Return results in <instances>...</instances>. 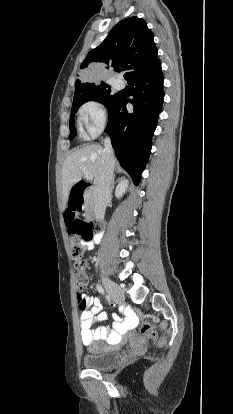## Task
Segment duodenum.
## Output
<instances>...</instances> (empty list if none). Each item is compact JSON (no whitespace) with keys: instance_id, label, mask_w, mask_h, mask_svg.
Masks as SVG:
<instances>
[{"instance_id":"1","label":"duodenum","mask_w":233,"mask_h":414,"mask_svg":"<svg viewBox=\"0 0 233 414\" xmlns=\"http://www.w3.org/2000/svg\"><path fill=\"white\" fill-rule=\"evenodd\" d=\"M93 194L92 186L83 182L79 181L75 184L74 189L72 191V203L68 205V210L70 212H81L83 209L82 204L85 205V220L92 221V204L93 198L91 195Z\"/></svg>"}]
</instances>
